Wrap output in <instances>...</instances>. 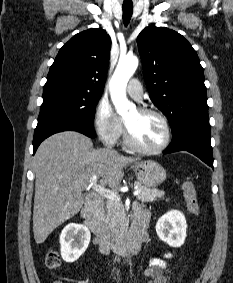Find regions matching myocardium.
I'll return each mask as SVG.
<instances>
[{
    "label": "myocardium",
    "instance_id": "obj_1",
    "mask_svg": "<svg viewBox=\"0 0 233 283\" xmlns=\"http://www.w3.org/2000/svg\"><path fill=\"white\" fill-rule=\"evenodd\" d=\"M137 110L141 114L155 115L162 121V123L165 127V139H164L163 143L157 148H154V149L145 148V147L139 145L135 141L128 125L126 123H124V125H125V141H126L127 145L130 148H132L133 150H135L139 153H142V154H147V155H155V154H159V153L163 152L169 146V144L171 142V138H172V130H171V126H170V123H169L167 117L162 112H160L159 110L154 109V108H150V107H141V108H138Z\"/></svg>",
    "mask_w": 233,
    "mask_h": 283
}]
</instances>
